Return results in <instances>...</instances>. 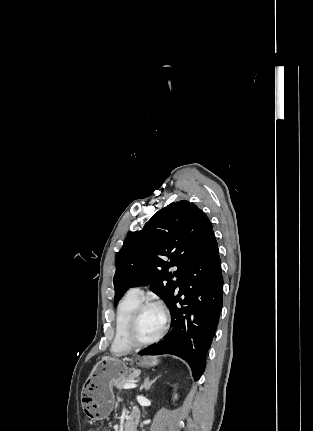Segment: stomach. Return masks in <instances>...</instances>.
I'll return each mask as SVG.
<instances>
[{"mask_svg": "<svg viewBox=\"0 0 313 431\" xmlns=\"http://www.w3.org/2000/svg\"><path fill=\"white\" fill-rule=\"evenodd\" d=\"M127 361L116 357H105L92 370L83 385L81 396L82 407L90 420H103L111 413L114 405V383L136 371L128 367ZM159 362L157 357H137L135 359L136 365L140 367L157 366Z\"/></svg>", "mask_w": 313, "mask_h": 431, "instance_id": "0dacf381", "label": "stomach"}]
</instances>
